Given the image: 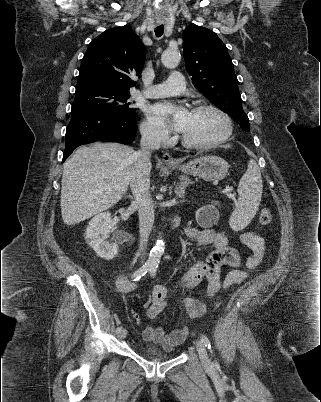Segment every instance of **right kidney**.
I'll use <instances>...</instances> for the list:
<instances>
[{
    "mask_svg": "<svg viewBox=\"0 0 321 402\" xmlns=\"http://www.w3.org/2000/svg\"><path fill=\"white\" fill-rule=\"evenodd\" d=\"M115 224L111 213L103 212L94 216L86 228L87 243L99 257L105 260L113 259L118 253V245L106 240Z\"/></svg>",
    "mask_w": 321,
    "mask_h": 402,
    "instance_id": "1",
    "label": "right kidney"
}]
</instances>
